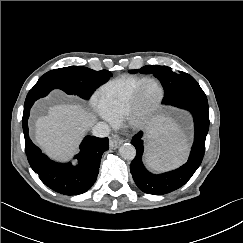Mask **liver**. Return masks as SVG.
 Listing matches in <instances>:
<instances>
[{"instance_id": "1", "label": "liver", "mask_w": 243, "mask_h": 243, "mask_svg": "<svg viewBox=\"0 0 243 243\" xmlns=\"http://www.w3.org/2000/svg\"><path fill=\"white\" fill-rule=\"evenodd\" d=\"M96 121L80 104H58L48 108L47 115L37 118L35 141L49 156L68 159Z\"/></svg>"}]
</instances>
